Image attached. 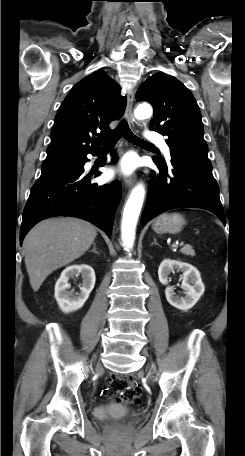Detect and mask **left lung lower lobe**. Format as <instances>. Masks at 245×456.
Segmentation results:
<instances>
[{"mask_svg": "<svg viewBox=\"0 0 245 456\" xmlns=\"http://www.w3.org/2000/svg\"><path fill=\"white\" fill-rule=\"evenodd\" d=\"M171 161L154 157L159 173H152L141 224L175 208H202L226 223L219 187L211 163L170 152Z\"/></svg>", "mask_w": 245, "mask_h": 456, "instance_id": "left-lung-lower-lobe-1", "label": "left lung lower lobe"}]
</instances>
